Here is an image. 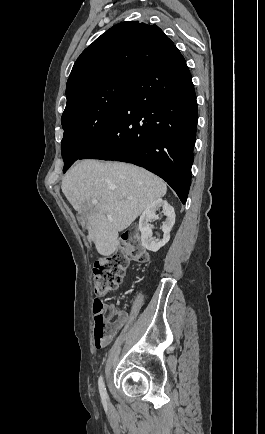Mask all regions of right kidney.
I'll return each mask as SVG.
<instances>
[{
	"instance_id": "obj_1",
	"label": "right kidney",
	"mask_w": 265,
	"mask_h": 434,
	"mask_svg": "<svg viewBox=\"0 0 265 434\" xmlns=\"http://www.w3.org/2000/svg\"><path fill=\"white\" fill-rule=\"evenodd\" d=\"M159 208H163V212L166 218V222H163L162 232H164L163 240L162 242H155L152 238V230L151 226L149 224L150 220H153L156 216V210H159ZM175 224V212L174 208L168 204V202H165V200H161V198H158V200H155V202H152L150 206H147L145 208L144 212H142L139 220V230L141 232V242L142 246L146 248V250H150V252H158L162 246H165L167 242L170 240V232Z\"/></svg>"
}]
</instances>
